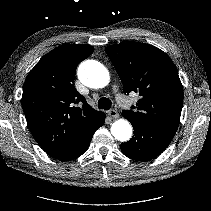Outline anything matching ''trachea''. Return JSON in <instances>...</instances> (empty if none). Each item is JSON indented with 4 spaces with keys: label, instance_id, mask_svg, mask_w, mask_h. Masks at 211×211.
<instances>
[{
    "label": "trachea",
    "instance_id": "3493384b",
    "mask_svg": "<svg viewBox=\"0 0 211 211\" xmlns=\"http://www.w3.org/2000/svg\"><path fill=\"white\" fill-rule=\"evenodd\" d=\"M111 106H112V102L110 101L109 98L101 97L98 101L99 109L109 110Z\"/></svg>",
    "mask_w": 211,
    "mask_h": 211
}]
</instances>
